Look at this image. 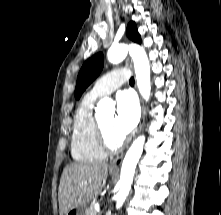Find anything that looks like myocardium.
<instances>
[{
	"mask_svg": "<svg viewBox=\"0 0 221 215\" xmlns=\"http://www.w3.org/2000/svg\"><path fill=\"white\" fill-rule=\"evenodd\" d=\"M95 128L98 144L105 153H114L124 145L125 140L123 138L117 141H113L109 138L99 119H96Z\"/></svg>",
	"mask_w": 221,
	"mask_h": 215,
	"instance_id": "obj_1",
	"label": "myocardium"
}]
</instances>
